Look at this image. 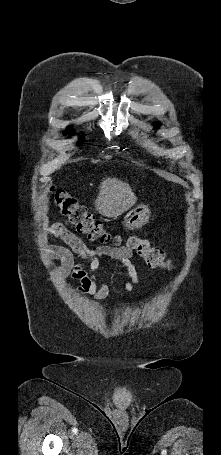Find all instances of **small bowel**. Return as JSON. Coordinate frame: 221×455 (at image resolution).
I'll return each instance as SVG.
<instances>
[{"label": "small bowel", "instance_id": "1", "mask_svg": "<svg viewBox=\"0 0 221 455\" xmlns=\"http://www.w3.org/2000/svg\"><path fill=\"white\" fill-rule=\"evenodd\" d=\"M46 233L60 239L67 245V247L51 245L47 248L46 253L59 261V265L56 267L58 275L71 276L79 281L77 287L79 293L87 294L96 300L103 299L108 295V284L105 282L98 284L95 275L103 257H110L126 267L129 279L125 281L124 286L128 292L134 291L140 282L139 274L131 261L133 253L127 248L90 247L84 240L60 223L49 226ZM76 256L80 257L82 262H77Z\"/></svg>", "mask_w": 221, "mask_h": 455}]
</instances>
